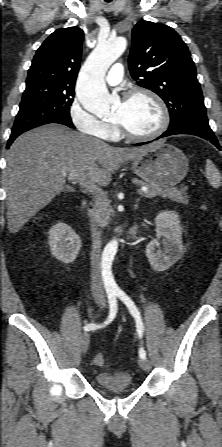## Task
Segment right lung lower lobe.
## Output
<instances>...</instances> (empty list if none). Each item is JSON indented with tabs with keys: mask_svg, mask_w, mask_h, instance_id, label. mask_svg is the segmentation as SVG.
<instances>
[{
	"mask_svg": "<svg viewBox=\"0 0 222 447\" xmlns=\"http://www.w3.org/2000/svg\"><path fill=\"white\" fill-rule=\"evenodd\" d=\"M48 123H59V124L66 125V126H68V127H70V128H74V125L72 124V121H71V120L56 119V120H53V121H50V122H47V123H44V124H48ZM44 124H42V125H44ZM29 130H30V129H29ZM26 131H28V130H26ZM23 132H25V131L17 132V133H12L11 136H10V138H9V140H8L7 148H9L10 145L12 144V142H13V141H14L20 134H22Z\"/></svg>",
	"mask_w": 222,
	"mask_h": 447,
	"instance_id": "98d812e1",
	"label": "right lung lower lobe"
}]
</instances>
